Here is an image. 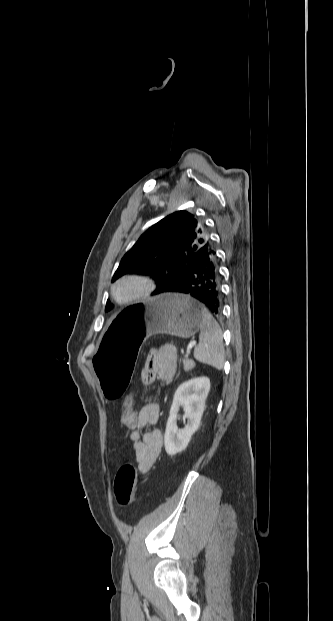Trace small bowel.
<instances>
[{
  "label": "small bowel",
  "instance_id": "small-bowel-1",
  "mask_svg": "<svg viewBox=\"0 0 333 621\" xmlns=\"http://www.w3.org/2000/svg\"><path fill=\"white\" fill-rule=\"evenodd\" d=\"M177 372V355L172 346H164L149 352L142 370V381L152 383L155 379L169 384ZM157 402L149 401L138 414L137 424L129 428L135 459L140 473L146 474L156 462L163 445V436L158 429H147L159 418Z\"/></svg>",
  "mask_w": 333,
  "mask_h": 621
}]
</instances>
